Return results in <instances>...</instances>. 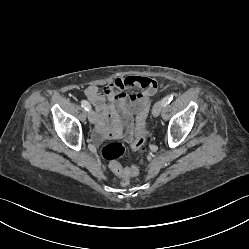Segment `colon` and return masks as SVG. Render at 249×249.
Instances as JSON below:
<instances>
[{
  "instance_id": "5ec220e1",
  "label": "colon",
  "mask_w": 249,
  "mask_h": 249,
  "mask_svg": "<svg viewBox=\"0 0 249 249\" xmlns=\"http://www.w3.org/2000/svg\"><path fill=\"white\" fill-rule=\"evenodd\" d=\"M154 87L151 90L157 87L156 82H154ZM146 117V109L143 110L137 117V123L139 126L138 132L132 141V148L135 151L143 152L145 151V134L141 129L143 120ZM102 156L104 159L108 160L110 163L111 170L119 174L121 177V184L123 186L128 185L130 176L138 175L140 168L138 166H131L129 168H123L118 162L117 159L120 158L125 153V146L120 142H111L106 144L102 148Z\"/></svg>"
}]
</instances>
